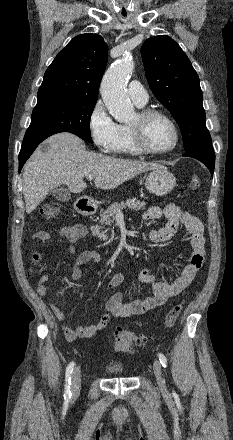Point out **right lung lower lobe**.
I'll return each mask as SVG.
<instances>
[{
  "mask_svg": "<svg viewBox=\"0 0 233 440\" xmlns=\"http://www.w3.org/2000/svg\"><path fill=\"white\" fill-rule=\"evenodd\" d=\"M56 131H26L21 151L19 153V172L21 171L24 163L36 149L37 145L40 144L47 137L56 134Z\"/></svg>",
  "mask_w": 233,
  "mask_h": 440,
  "instance_id": "98d812e1",
  "label": "right lung lower lobe"
}]
</instances>
